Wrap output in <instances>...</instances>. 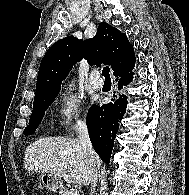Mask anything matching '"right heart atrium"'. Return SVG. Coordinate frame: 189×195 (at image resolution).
<instances>
[{
	"label": "right heart atrium",
	"instance_id": "d8ad5b80",
	"mask_svg": "<svg viewBox=\"0 0 189 195\" xmlns=\"http://www.w3.org/2000/svg\"><path fill=\"white\" fill-rule=\"evenodd\" d=\"M56 104L60 129H72L85 122L82 98L72 89L61 90L57 96Z\"/></svg>",
	"mask_w": 189,
	"mask_h": 195
}]
</instances>
